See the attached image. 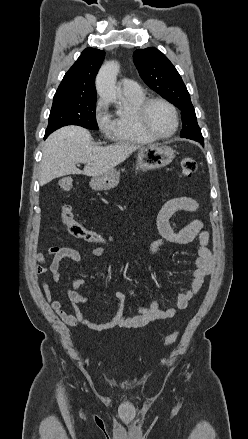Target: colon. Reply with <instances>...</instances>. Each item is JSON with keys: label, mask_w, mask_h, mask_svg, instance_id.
<instances>
[{"label": "colon", "mask_w": 248, "mask_h": 439, "mask_svg": "<svg viewBox=\"0 0 248 439\" xmlns=\"http://www.w3.org/2000/svg\"><path fill=\"white\" fill-rule=\"evenodd\" d=\"M181 173L184 176H190L197 169V163L192 158H184L181 161ZM73 187V181L69 177H64L59 181V188L68 192ZM61 217L63 223L66 225L68 231L71 235L76 238H80L87 243L93 244L95 246L108 245L112 243V238L104 233L98 232L96 230L88 229L81 222H79L72 211V208L68 204H63L61 207ZM179 332L174 331L167 335L164 339V346H169L173 344L178 338Z\"/></svg>", "instance_id": "obj_1"}]
</instances>
